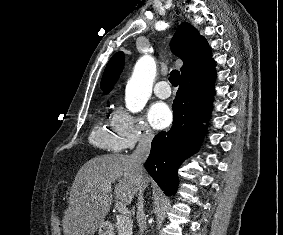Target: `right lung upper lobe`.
Masks as SVG:
<instances>
[{"label": "right lung upper lobe", "instance_id": "obj_1", "mask_svg": "<svg viewBox=\"0 0 283 235\" xmlns=\"http://www.w3.org/2000/svg\"><path fill=\"white\" fill-rule=\"evenodd\" d=\"M172 51L183 61L181 80H191L215 69L211 50L207 41L189 23H183L176 31L172 41ZM124 55L116 53L108 62L102 80L103 93H108L122 71Z\"/></svg>", "mask_w": 283, "mask_h": 235}]
</instances>
